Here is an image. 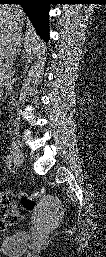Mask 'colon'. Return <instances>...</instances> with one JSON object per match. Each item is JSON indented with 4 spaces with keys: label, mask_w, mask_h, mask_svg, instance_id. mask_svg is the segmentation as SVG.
Listing matches in <instances>:
<instances>
[{
    "label": "colon",
    "mask_w": 106,
    "mask_h": 257,
    "mask_svg": "<svg viewBox=\"0 0 106 257\" xmlns=\"http://www.w3.org/2000/svg\"><path fill=\"white\" fill-rule=\"evenodd\" d=\"M37 199L44 205H47L51 201V197L42 189L32 193H22L19 196V203L23 209L31 212L36 209Z\"/></svg>",
    "instance_id": "1"
}]
</instances>
